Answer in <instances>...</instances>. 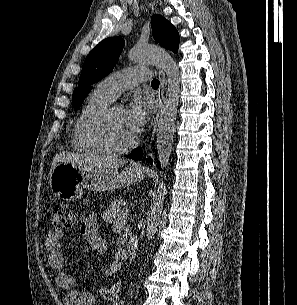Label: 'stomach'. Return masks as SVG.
I'll list each match as a JSON object with an SVG mask.
<instances>
[{
    "label": "stomach",
    "instance_id": "1",
    "mask_svg": "<svg viewBox=\"0 0 297 305\" xmlns=\"http://www.w3.org/2000/svg\"><path fill=\"white\" fill-rule=\"evenodd\" d=\"M144 178L145 171L134 166L118 171L60 162L50 174L49 185L55 196L70 202L80 199L84 189L105 192L126 187Z\"/></svg>",
    "mask_w": 297,
    "mask_h": 305
}]
</instances>
